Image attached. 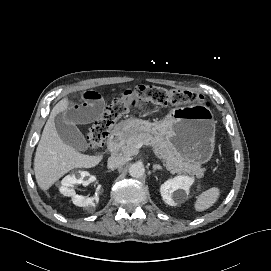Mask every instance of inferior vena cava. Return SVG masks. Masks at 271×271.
Instances as JSON below:
<instances>
[{
    "instance_id": "1",
    "label": "inferior vena cava",
    "mask_w": 271,
    "mask_h": 271,
    "mask_svg": "<svg viewBox=\"0 0 271 271\" xmlns=\"http://www.w3.org/2000/svg\"><path fill=\"white\" fill-rule=\"evenodd\" d=\"M126 161V158L123 156H111L108 158V167L111 169H115L123 166Z\"/></svg>"
}]
</instances>
